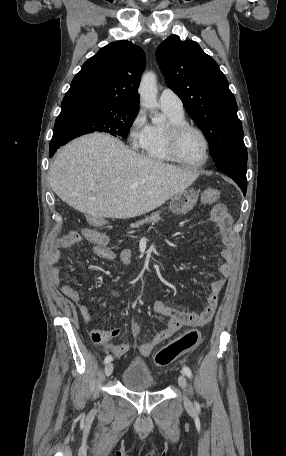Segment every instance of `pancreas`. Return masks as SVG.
<instances>
[{"instance_id":"pancreas-1","label":"pancreas","mask_w":286,"mask_h":456,"mask_svg":"<svg viewBox=\"0 0 286 456\" xmlns=\"http://www.w3.org/2000/svg\"><path fill=\"white\" fill-rule=\"evenodd\" d=\"M161 220V217H160V212H156L154 214H152L151 216L149 217H146L144 220H141L139 222H136V223H133L131 224V228H136V227H139L145 223H150V222H158Z\"/></svg>"}]
</instances>
